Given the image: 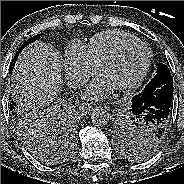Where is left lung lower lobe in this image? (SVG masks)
<instances>
[{
  "mask_svg": "<svg viewBox=\"0 0 184 184\" xmlns=\"http://www.w3.org/2000/svg\"><path fill=\"white\" fill-rule=\"evenodd\" d=\"M172 97V76L170 74L156 76L141 93L132 98L129 112L136 120L164 132L167 130L172 113Z\"/></svg>",
  "mask_w": 184,
  "mask_h": 184,
  "instance_id": "left-lung-lower-lobe-1",
  "label": "left lung lower lobe"
}]
</instances>
